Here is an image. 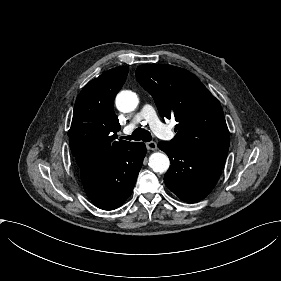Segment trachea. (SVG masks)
<instances>
[{
    "label": "trachea",
    "mask_w": 281,
    "mask_h": 281,
    "mask_svg": "<svg viewBox=\"0 0 281 281\" xmlns=\"http://www.w3.org/2000/svg\"><path fill=\"white\" fill-rule=\"evenodd\" d=\"M121 139H126V140H134V141H139L142 140L144 142H149L152 140V136L149 131L142 129V128H137L132 135L128 136H122L120 137Z\"/></svg>",
    "instance_id": "obj_1"
}]
</instances>
